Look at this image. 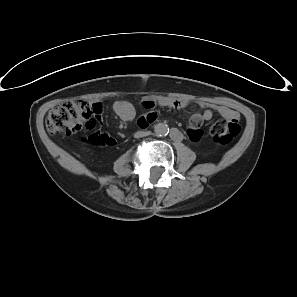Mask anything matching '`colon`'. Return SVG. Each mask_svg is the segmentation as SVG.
<instances>
[{"label":"colon","mask_w":297,"mask_h":297,"mask_svg":"<svg viewBox=\"0 0 297 297\" xmlns=\"http://www.w3.org/2000/svg\"><path fill=\"white\" fill-rule=\"evenodd\" d=\"M102 105L84 100L65 101L55 106L48 114L46 127L52 134L71 135L82 129L95 128L101 119ZM238 117L217 120L210 128V135L221 145L229 144L239 133ZM95 146H112L115 141L109 135L96 131L88 137Z\"/></svg>","instance_id":"1"}]
</instances>
